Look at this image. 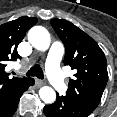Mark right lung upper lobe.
<instances>
[{"instance_id":"1","label":"right lung upper lobe","mask_w":117,"mask_h":117,"mask_svg":"<svg viewBox=\"0 0 117 117\" xmlns=\"http://www.w3.org/2000/svg\"><path fill=\"white\" fill-rule=\"evenodd\" d=\"M36 22V17L23 16L0 25V107L11 99L30 79L19 77L9 79L5 72V61L21 59L17 52L18 44Z\"/></svg>"}]
</instances>
